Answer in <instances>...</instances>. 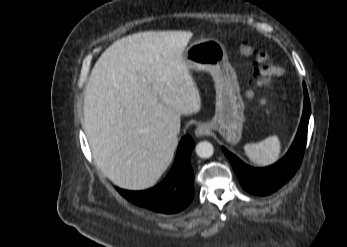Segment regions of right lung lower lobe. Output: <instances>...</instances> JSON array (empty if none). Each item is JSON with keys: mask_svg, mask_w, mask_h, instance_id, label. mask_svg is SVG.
Here are the masks:
<instances>
[{"mask_svg": "<svg viewBox=\"0 0 347 247\" xmlns=\"http://www.w3.org/2000/svg\"><path fill=\"white\" fill-rule=\"evenodd\" d=\"M193 147L189 135L181 139L172 169L157 186L145 191L117 188L118 192L132 203L156 212L171 214L182 211L194 197V172L190 165Z\"/></svg>", "mask_w": 347, "mask_h": 247, "instance_id": "98d812e1", "label": "right lung lower lobe"}]
</instances>
